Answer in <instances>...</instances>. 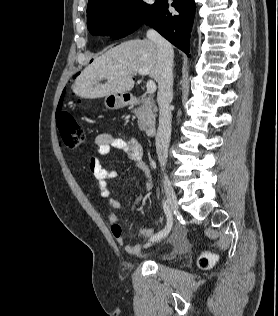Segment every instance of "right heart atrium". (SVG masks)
<instances>
[{
    "label": "right heart atrium",
    "instance_id": "right-heart-atrium-1",
    "mask_svg": "<svg viewBox=\"0 0 278 316\" xmlns=\"http://www.w3.org/2000/svg\"><path fill=\"white\" fill-rule=\"evenodd\" d=\"M127 17V12L126 11H121L119 14H118V18L119 19H125Z\"/></svg>",
    "mask_w": 278,
    "mask_h": 316
}]
</instances>
